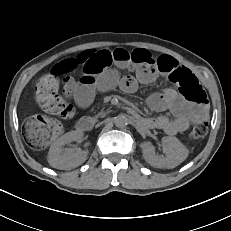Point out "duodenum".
<instances>
[{
  "label": "duodenum",
  "mask_w": 231,
  "mask_h": 231,
  "mask_svg": "<svg viewBox=\"0 0 231 231\" xmlns=\"http://www.w3.org/2000/svg\"><path fill=\"white\" fill-rule=\"evenodd\" d=\"M130 113L137 117V113L134 112L133 110H130ZM92 126V121L90 118L84 117L82 119L79 120L78 124H77V129L80 132H86L88 131Z\"/></svg>",
  "instance_id": "obj_1"
}]
</instances>
